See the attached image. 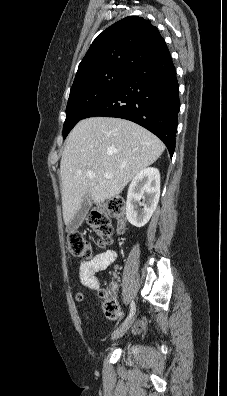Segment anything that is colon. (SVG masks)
<instances>
[{"label": "colon", "mask_w": 227, "mask_h": 396, "mask_svg": "<svg viewBox=\"0 0 227 396\" xmlns=\"http://www.w3.org/2000/svg\"><path fill=\"white\" fill-rule=\"evenodd\" d=\"M124 210L125 204L121 197H113L91 210L88 222L95 232L98 243L101 246L106 245L114 235L115 229L113 220H117L119 222V230H123ZM67 244L68 250L72 256L78 258H88L91 256V246L81 233H70L67 238ZM99 296L102 299L103 311L106 316L110 318L116 317L118 313L116 302L104 289H99ZM78 298L82 299V296L79 295Z\"/></svg>", "instance_id": "obj_1"}]
</instances>
